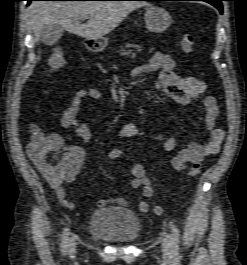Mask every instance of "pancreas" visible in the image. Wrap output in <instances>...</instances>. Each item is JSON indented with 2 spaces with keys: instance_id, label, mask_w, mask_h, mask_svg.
<instances>
[{
  "instance_id": "pancreas-1",
  "label": "pancreas",
  "mask_w": 247,
  "mask_h": 265,
  "mask_svg": "<svg viewBox=\"0 0 247 265\" xmlns=\"http://www.w3.org/2000/svg\"><path fill=\"white\" fill-rule=\"evenodd\" d=\"M131 47H135L132 44H126L125 48L127 49H121L120 56H124V57H130L132 59L136 58V53H133V50L129 49Z\"/></svg>"
}]
</instances>
